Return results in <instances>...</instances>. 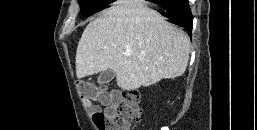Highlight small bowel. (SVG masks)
<instances>
[{
	"label": "small bowel",
	"mask_w": 257,
	"mask_h": 130,
	"mask_svg": "<svg viewBox=\"0 0 257 130\" xmlns=\"http://www.w3.org/2000/svg\"><path fill=\"white\" fill-rule=\"evenodd\" d=\"M119 97L113 93L97 92L92 98L82 97V103L90 112H97L104 106V112H111L118 104Z\"/></svg>",
	"instance_id": "c3829d8e"
}]
</instances>
